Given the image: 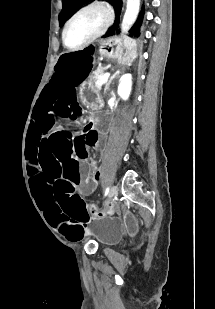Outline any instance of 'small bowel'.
<instances>
[{"label":"small bowel","mask_w":215,"mask_h":309,"mask_svg":"<svg viewBox=\"0 0 215 309\" xmlns=\"http://www.w3.org/2000/svg\"><path fill=\"white\" fill-rule=\"evenodd\" d=\"M87 129H88L89 131H91V134L95 135V137L92 139V144H93V145H96V144L98 143V139L96 138V134H95V132H94V131H95V128H94V126H93V123L90 122V123L87 125ZM106 209L112 210V213H113L114 204H113L112 202L108 203ZM99 217H100V216H99Z\"/></svg>","instance_id":"small-bowel-1"}]
</instances>
